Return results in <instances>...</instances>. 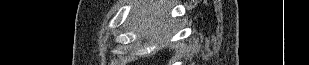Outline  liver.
Instances as JSON below:
<instances>
[{
	"label": "liver",
	"instance_id": "liver-1",
	"mask_svg": "<svg viewBox=\"0 0 309 65\" xmlns=\"http://www.w3.org/2000/svg\"><path fill=\"white\" fill-rule=\"evenodd\" d=\"M169 5L170 0L138 2L130 16L132 29L147 39L165 40L172 27L168 19Z\"/></svg>",
	"mask_w": 309,
	"mask_h": 65
}]
</instances>
